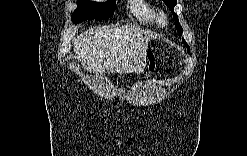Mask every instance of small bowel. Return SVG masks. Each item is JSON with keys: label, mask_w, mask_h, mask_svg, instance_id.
Instances as JSON below:
<instances>
[{"label": "small bowel", "mask_w": 247, "mask_h": 156, "mask_svg": "<svg viewBox=\"0 0 247 156\" xmlns=\"http://www.w3.org/2000/svg\"><path fill=\"white\" fill-rule=\"evenodd\" d=\"M153 70H154V66L152 63H150L148 66V73L151 74L153 72Z\"/></svg>", "instance_id": "c3829d8e"}]
</instances>
